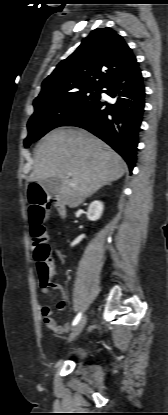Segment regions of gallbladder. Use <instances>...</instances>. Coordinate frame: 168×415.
Listing matches in <instances>:
<instances>
[{"label":"gallbladder","instance_id":"bac80fb5","mask_svg":"<svg viewBox=\"0 0 168 415\" xmlns=\"http://www.w3.org/2000/svg\"><path fill=\"white\" fill-rule=\"evenodd\" d=\"M40 185L48 195L57 194L62 186V180L58 177H50L40 181Z\"/></svg>","mask_w":168,"mask_h":415}]
</instances>
